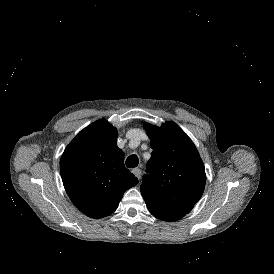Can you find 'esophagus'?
Returning <instances> with one entry per match:
<instances>
[{
	"label": "esophagus",
	"mask_w": 274,
	"mask_h": 274,
	"mask_svg": "<svg viewBox=\"0 0 274 274\" xmlns=\"http://www.w3.org/2000/svg\"><path fill=\"white\" fill-rule=\"evenodd\" d=\"M132 173L139 179L141 177V169L135 168L132 170Z\"/></svg>",
	"instance_id": "34e87169"
}]
</instances>
